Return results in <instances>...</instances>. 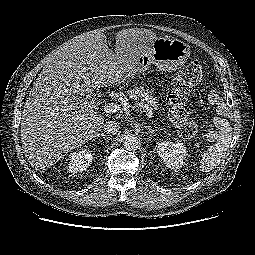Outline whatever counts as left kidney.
<instances>
[{
    "label": "left kidney",
    "instance_id": "5707ae66",
    "mask_svg": "<svg viewBox=\"0 0 255 255\" xmlns=\"http://www.w3.org/2000/svg\"><path fill=\"white\" fill-rule=\"evenodd\" d=\"M155 150L165 165L175 171L182 167L187 155L186 147L181 142L162 141L156 144Z\"/></svg>",
    "mask_w": 255,
    "mask_h": 255
}]
</instances>
